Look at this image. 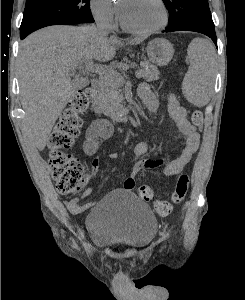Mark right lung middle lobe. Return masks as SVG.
Segmentation results:
<instances>
[{"label": "right lung middle lobe", "instance_id": "1", "mask_svg": "<svg viewBox=\"0 0 245 300\" xmlns=\"http://www.w3.org/2000/svg\"><path fill=\"white\" fill-rule=\"evenodd\" d=\"M93 22L90 0H26L20 35L50 25Z\"/></svg>", "mask_w": 245, "mask_h": 300}]
</instances>
